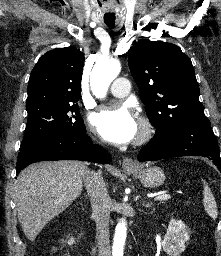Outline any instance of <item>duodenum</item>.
<instances>
[{
  "label": "duodenum",
  "mask_w": 221,
  "mask_h": 256,
  "mask_svg": "<svg viewBox=\"0 0 221 256\" xmlns=\"http://www.w3.org/2000/svg\"><path fill=\"white\" fill-rule=\"evenodd\" d=\"M89 245H90V248H91V251L93 252V253H96V246H95V244L93 243V241H89Z\"/></svg>",
  "instance_id": "obj_1"
}]
</instances>
